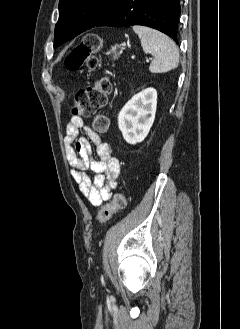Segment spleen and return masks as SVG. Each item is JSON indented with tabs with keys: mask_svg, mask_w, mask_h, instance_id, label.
<instances>
[{
	"mask_svg": "<svg viewBox=\"0 0 240 329\" xmlns=\"http://www.w3.org/2000/svg\"><path fill=\"white\" fill-rule=\"evenodd\" d=\"M143 51L153 56L149 70L151 73H166L178 67L179 49L165 34L144 26H133Z\"/></svg>",
	"mask_w": 240,
	"mask_h": 329,
	"instance_id": "1",
	"label": "spleen"
}]
</instances>
